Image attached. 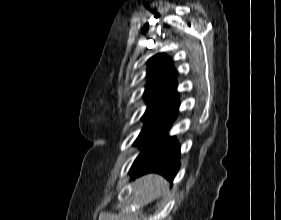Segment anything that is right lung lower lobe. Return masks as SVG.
<instances>
[{
    "mask_svg": "<svg viewBox=\"0 0 281 220\" xmlns=\"http://www.w3.org/2000/svg\"><path fill=\"white\" fill-rule=\"evenodd\" d=\"M173 121L137 157L130 169L132 177L156 172L173 180L180 166V145L167 135Z\"/></svg>",
    "mask_w": 281,
    "mask_h": 220,
    "instance_id": "right-lung-lower-lobe-1",
    "label": "right lung lower lobe"
}]
</instances>
